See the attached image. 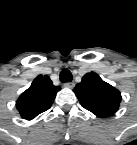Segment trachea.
Masks as SVG:
<instances>
[{
    "label": "trachea",
    "mask_w": 137,
    "mask_h": 145,
    "mask_svg": "<svg viewBox=\"0 0 137 145\" xmlns=\"http://www.w3.org/2000/svg\"><path fill=\"white\" fill-rule=\"evenodd\" d=\"M60 80L62 83L72 81V73L68 69H63L60 73Z\"/></svg>",
    "instance_id": "3493384b"
}]
</instances>
